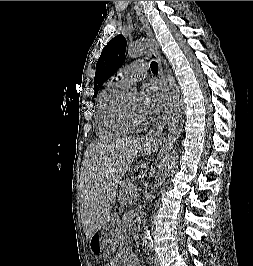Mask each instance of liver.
I'll return each instance as SVG.
<instances>
[{"label":"liver","mask_w":253,"mask_h":266,"mask_svg":"<svg viewBox=\"0 0 253 266\" xmlns=\"http://www.w3.org/2000/svg\"><path fill=\"white\" fill-rule=\"evenodd\" d=\"M143 145L138 138L125 137L97 141L87 147L81 173V219L87 239L111 214L118 184Z\"/></svg>","instance_id":"6515ba94"}]
</instances>
